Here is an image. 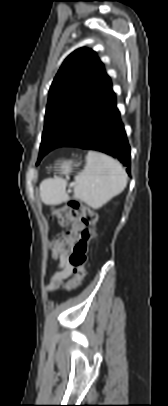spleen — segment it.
<instances>
[{
    "instance_id": "spleen-1",
    "label": "spleen",
    "mask_w": 168,
    "mask_h": 406,
    "mask_svg": "<svg viewBox=\"0 0 168 406\" xmlns=\"http://www.w3.org/2000/svg\"><path fill=\"white\" fill-rule=\"evenodd\" d=\"M127 184L122 165L103 153L89 151L84 169L75 176L73 198L99 209L120 194ZM67 181L60 177L44 180L40 184L41 199L45 204H61L69 199Z\"/></svg>"
}]
</instances>
